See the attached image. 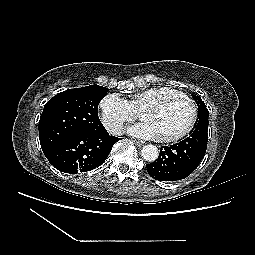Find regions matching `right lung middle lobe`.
<instances>
[{"label": "right lung middle lobe", "mask_w": 255, "mask_h": 255, "mask_svg": "<svg viewBox=\"0 0 255 255\" xmlns=\"http://www.w3.org/2000/svg\"><path fill=\"white\" fill-rule=\"evenodd\" d=\"M107 92L106 87L94 84L68 89L49 100L39 120V139L44 155L74 132L104 131L98 117V104Z\"/></svg>", "instance_id": "right-lung-middle-lobe-1"}]
</instances>
